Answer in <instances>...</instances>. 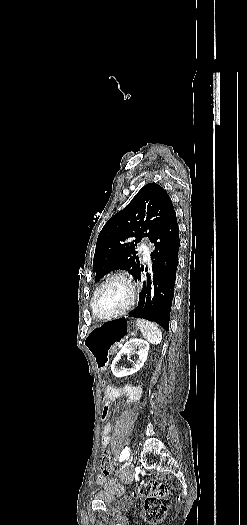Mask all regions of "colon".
<instances>
[{"instance_id":"5ec220e1","label":"colon","mask_w":247,"mask_h":525,"mask_svg":"<svg viewBox=\"0 0 247 525\" xmlns=\"http://www.w3.org/2000/svg\"><path fill=\"white\" fill-rule=\"evenodd\" d=\"M102 389L109 387L107 380L100 382ZM102 415L100 424H105V420L111 413V405L105 402L101 405ZM112 469V456L108 451L101 453V470L103 474L108 475ZM174 486L168 487L164 484H160L155 480H142L136 486L137 494L143 499V519L150 524H158L162 522L166 516L170 502L168 495Z\"/></svg>"}]
</instances>
